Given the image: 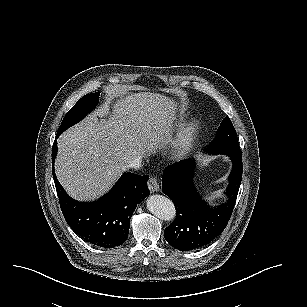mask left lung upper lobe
Wrapping results in <instances>:
<instances>
[{
    "mask_svg": "<svg viewBox=\"0 0 307 307\" xmlns=\"http://www.w3.org/2000/svg\"><path fill=\"white\" fill-rule=\"evenodd\" d=\"M206 151L211 154L242 155L236 131L229 117L221 122L215 139Z\"/></svg>",
    "mask_w": 307,
    "mask_h": 307,
    "instance_id": "1",
    "label": "left lung upper lobe"
}]
</instances>
